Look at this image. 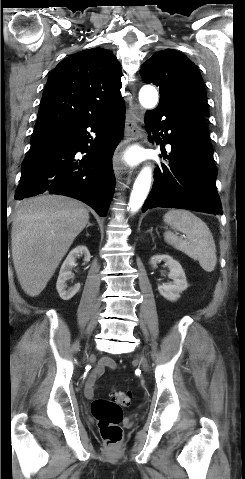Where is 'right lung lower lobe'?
Segmentation results:
<instances>
[{"label": "right lung lower lobe", "instance_id": "right-lung-lower-lobe-1", "mask_svg": "<svg viewBox=\"0 0 245 479\" xmlns=\"http://www.w3.org/2000/svg\"><path fill=\"white\" fill-rule=\"evenodd\" d=\"M124 125L122 108L60 122L34 134L15 199L60 194L83 201L105 217L115 185L112 155Z\"/></svg>", "mask_w": 245, "mask_h": 479}]
</instances>
